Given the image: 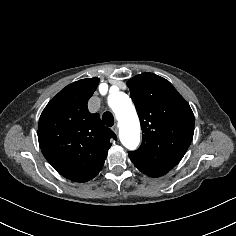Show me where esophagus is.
<instances>
[{
	"instance_id": "34e87169",
	"label": "esophagus",
	"mask_w": 236,
	"mask_h": 236,
	"mask_svg": "<svg viewBox=\"0 0 236 236\" xmlns=\"http://www.w3.org/2000/svg\"><path fill=\"white\" fill-rule=\"evenodd\" d=\"M112 130L117 134V132H118V126H117V125H114V126L112 127Z\"/></svg>"
}]
</instances>
